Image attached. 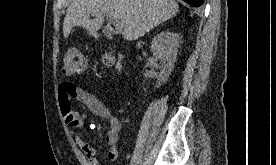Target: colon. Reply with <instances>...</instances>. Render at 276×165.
Segmentation results:
<instances>
[{"label":"colon","mask_w":276,"mask_h":165,"mask_svg":"<svg viewBox=\"0 0 276 165\" xmlns=\"http://www.w3.org/2000/svg\"><path fill=\"white\" fill-rule=\"evenodd\" d=\"M104 61L107 64H114L116 57L107 53L104 55ZM88 67V61L78 50H68L63 57V73L68 76L79 75Z\"/></svg>","instance_id":"5ec220e1"}]
</instances>
